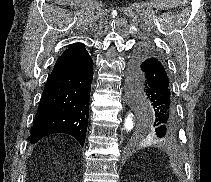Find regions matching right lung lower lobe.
Returning a JSON list of instances; mask_svg holds the SVG:
<instances>
[{
    "mask_svg": "<svg viewBox=\"0 0 211 182\" xmlns=\"http://www.w3.org/2000/svg\"><path fill=\"white\" fill-rule=\"evenodd\" d=\"M92 80V58L82 43H75L57 59L48 77L30 131L31 143L66 133L84 146Z\"/></svg>",
    "mask_w": 211,
    "mask_h": 182,
    "instance_id": "right-lung-lower-lobe-1",
    "label": "right lung lower lobe"
}]
</instances>
